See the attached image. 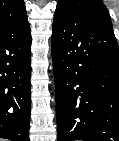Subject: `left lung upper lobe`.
<instances>
[{
  "mask_svg": "<svg viewBox=\"0 0 119 141\" xmlns=\"http://www.w3.org/2000/svg\"><path fill=\"white\" fill-rule=\"evenodd\" d=\"M56 12H72L83 17L111 21L101 0H59Z\"/></svg>",
  "mask_w": 119,
  "mask_h": 141,
  "instance_id": "1",
  "label": "left lung upper lobe"
}]
</instances>
